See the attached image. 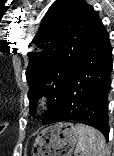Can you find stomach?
I'll return each mask as SVG.
<instances>
[{"instance_id": "stomach-1", "label": "stomach", "mask_w": 114, "mask_h": 156, "mask_svg": "<svg viewBox=\"0 0 114 156\" xmlns=\"http://www.w3.org/2000/svg\"><path fill=\"white\" fill-rule=\"evenodd\" d=\"M77 142L76 125L71 122L58 123L37 135L32 156H71Z\"/></svg>"}]
</instances>
